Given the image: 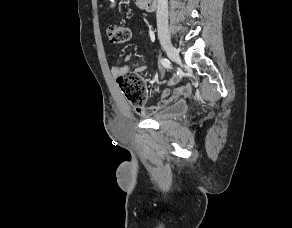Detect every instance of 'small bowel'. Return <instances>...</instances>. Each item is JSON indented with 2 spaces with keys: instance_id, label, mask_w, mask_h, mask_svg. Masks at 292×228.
<instances>
[{
  "instance_id": "small-bowel-1",
  "label": "small bowel",
  "mask_w": 292,
  "mask_h": 228,
  "mask_svg": "<svg viewBox=\"0 0 292 228\" xmlns=\"http://www.w3.org/2000/svg\"><path fill=\"white\" fill-rule=\"evenodd\" d=\"M130 59V55H127L125 57V62H127ZM132 67L134 73L139 74L146 70V65L144 63H134L132 65L123 64V65H115L112 67L111 72L114 77H119L121 75L126 74L129 69ZM179 80V76L177 74H174L171 78L167 79L164 76H162L158 81L160 84L166 85V86H172L176 84ZM191 92V86L189 84H185L177 89L174 90L171 96H169V89L165 88L162 92V97L155 102L154 104L143 106L141 108L137 109V113L142 116H148L153 115L160 110L165 109L169 106L171 102H176L181 97H185L189 95Z\"/></svg>"
}]
</instances>
